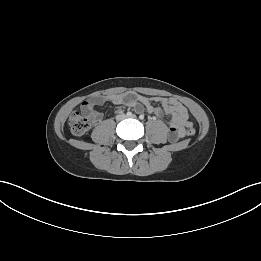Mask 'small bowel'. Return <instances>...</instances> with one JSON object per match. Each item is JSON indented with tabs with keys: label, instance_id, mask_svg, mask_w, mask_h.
I'll use <instances>...</instances> for the list:
<instances>
[{
	"label": "small bowel",
	"instance_id": "small-bowel-1",
	"mask_svg": "<svg viewBox=\"0 0 261 261\" xmlns=\"http://www.w3.org/2000/svg\"><path fill=\"white\" fill-rule=\"evenodd\" d=\"M106 101H110L117 105H125L132 107L136 112L140 113L147 110L158 116L165 114L169 116L170 139L175 141L184 136V126L188 120V112L186 107L174 98L166 97H148L137 94L135 92H127L122 94H111L95 97L86 100L81 105L82 112L89 114L95 123H100L102 114L95 110V106L101 105ZM160 103V107L154 104Z\"/></svg>",
	"mask_w": 261,
	"mask_h": 261
}]
</instances>
